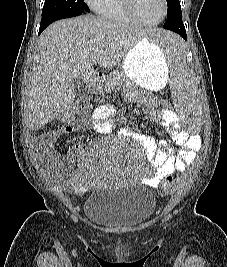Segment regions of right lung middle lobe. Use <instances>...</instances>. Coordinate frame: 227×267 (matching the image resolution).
<instances>
[{
	"label": "right lung middle lobe",
	"instance_id": "right-lung-middle-lobe-1",
	"mask_svg": "<svg viewBox=\"0 0 227 267\" xmlns=\"http://www.w3.org/2000/svg\"><path fill=\"white\" fill-rule=\"evenodd\" d=\"M90 13L84 0H45L42 17Z\"/></svg>",
	"mask_w": 227,
	"mask_h": 267
}]
</instances>
